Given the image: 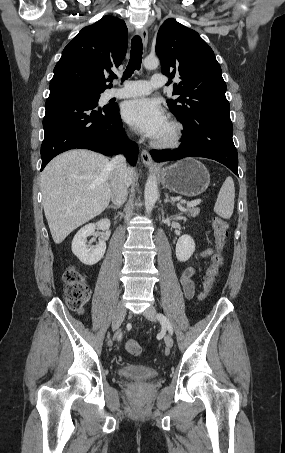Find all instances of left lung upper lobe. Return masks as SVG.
<instances>
[{"mask_svg": "<svg viewBox=\"0 0 285 453\" xmlns=\"http://www.w3.org/2000/svg\"><path fill=\"white\" fill-rule=\"evenodd\" d=\"M156 53L162 72L181 80L173 86V95L180 96L167 102L181 122L201 114L230 117L221 67L196 31L167 19L158 31Z\"/></svg>", "mask_w": 285, "mask_h": 453, "instance_id": "left-lung-upper-lobe-1", "label": "left lung upper lobe"}]
</instances>
